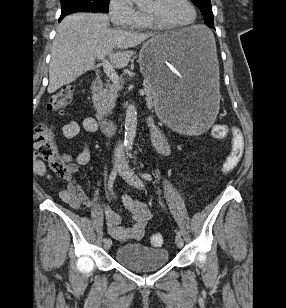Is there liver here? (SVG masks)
<instances>
[{"label": "liver", "instance_id": "6515ba94", "mask_svg": "<svg viewBox=\"0 0 286 308\" xmlns=\"http://www.w3.org/2000/svg\"><path fill=\"white\" fill-rule=\"evenodd\" d=\"M108 26V16L95 13L71 14L60 22L51 50L49 93L93 70L99 52H105L115 68H124L134 54L132 48L155 36L154 33H136ZM179 31L159 35L173 38Z\"/></svg>", "mask_w": 286, "mask_h": 308}]
</instances>
